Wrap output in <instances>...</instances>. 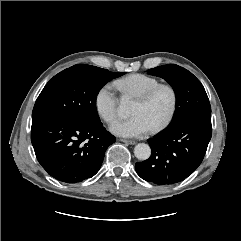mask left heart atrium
<instances>
[{
  "label": "left heart atrium",
  "instance_id": "obj_1",
  "mask_svg": "<svg viewBox=\"0 0 241 241\" xmlns=\"http://www.w3.org/2000/svg\"><path fill=\"white\" fill-rule=\"evenodd\" d=\"M110 129L118 136L141 137L147 134L151 127L142 115L136 114L127 119L116 120Z\"/></svg>",
  "mask_w": 241,
  "mask_h": 241
}]
</instances>
